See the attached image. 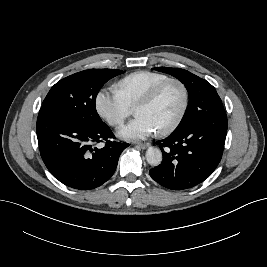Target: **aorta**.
<instances>
[{
	"label": "aorta",
	"mask_w": 267,
	"mask_h": 267,
	"mask_svg": "<svg viewBox=\"0 0 267 267\" xmlns=\"http://www.w3.org/2000/svg\"><path fill=\"white\" fill-rule=\"evenodd\" d=\"M146 160L152 166H158L162 161V152L159 148L149 147L146 151Z\"/></svg>",
	"instance_id": "obj_1"
}]
</instances>
